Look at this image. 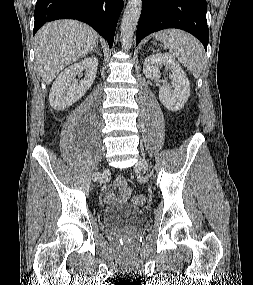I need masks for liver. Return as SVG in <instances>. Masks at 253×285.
Wrapping results in <instances>:
<instances>
[{"label":"liver","mask_w":253,"mask_h":285,"mask_svg":"<svg viewBox=\"0 0 253 285\" xmlns=\"http://www.w3.org/2000/svg\"><path fill=\"white\" fill-rule=\"evenodd\" d=\"M34 41L40 75L50 84L62 69L97 46L98 34L85 23L58 20L44 25Z\"/></svg>","instance_id":"obj_1"}]
</instances>
